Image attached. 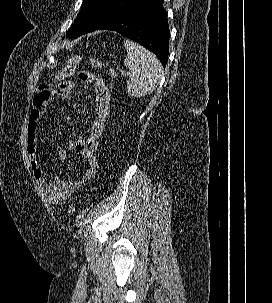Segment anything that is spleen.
Returning a JSON list of instances; mask_svg holds the SVG:
<instances>
[{"label":"spleen","instance_id":"spleen-1","mask_svg":"<svg viewBox=\"0 0 272 303\" xmlns=\"http://www.w3.org/2000/svg\"><path fill=\"white\" fill-rule=\"evenodd\" d=\"M124 46L127 51L124 65L131 72L127 81L128 94L136 98L151 94L162 78L161 63L153 53L133 41L126 39Z\"/></svg>","mask_w":272,"mask_h":303}]
</instances>
